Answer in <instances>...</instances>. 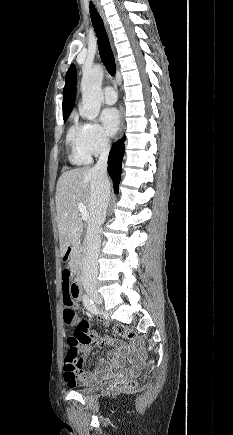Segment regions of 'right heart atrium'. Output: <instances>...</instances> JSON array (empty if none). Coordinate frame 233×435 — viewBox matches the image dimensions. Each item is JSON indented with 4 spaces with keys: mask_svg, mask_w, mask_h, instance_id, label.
Listing matches in <instances>:
<instances>
[{
    "mask_svg": "<svg viewBox=\"0 0 233 435\" xmlns=\"http://www.w3.org/2000/svg\"><path fill=\"white\" fill-rule=\"evenodd\" d=\"M85 135V146L90 155L100 156L108 151L110 141L99 124L85 123Z\"/></svg>",
    "mask_w": 233,
    "mask_h": 435,
    "instance_id": "1",
    "label": "right heart atrium"
}]
</instances>
